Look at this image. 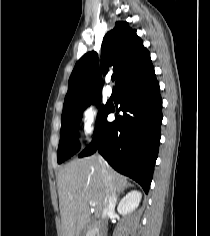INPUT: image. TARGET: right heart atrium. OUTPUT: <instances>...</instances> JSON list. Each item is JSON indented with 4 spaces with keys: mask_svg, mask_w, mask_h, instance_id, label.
<instances>
[{
    "mask_svg": "<svg viewBox=\"0 0 210 236\" xmlns=\"http://www.w3.org/2000/svg\"><path fill=\"white\" fill-rule=\"evenodd\" d=\"M82 133L86 139H92L99 127V110L94 103H88L80 115Z\"/></svg>",
    "mask_w": 210,
    "mask_h": 236,
    "instance_id": "right-heart-atrium-1",
    "label": "right heart atrium"
}]
</instances>
